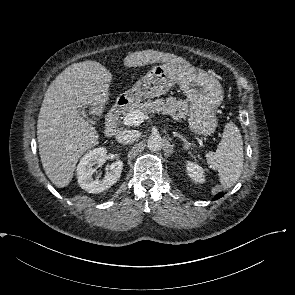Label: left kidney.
<instances>
[{"instance_id": "left-kidney-1", "label": "left kidney", "mask_w": 295, "mask_h": 295, "mask_svg": "<svg viewBox=\"0 0 295 295\" xmlns=\"http://www.w3.org/2000/svg\"><path fill=\"white\" fill-rule=\"evenodd\" d=\"M186 169L189 177L197 183L205 182L204 169L197 163L186 161Z\"/></svg>"}]
</instances>
